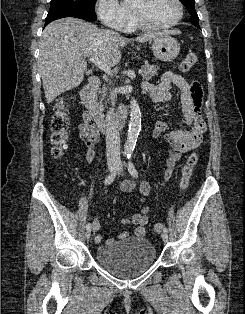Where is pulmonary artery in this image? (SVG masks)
Returning <instances> with one entry per match:
<instances>
[{"label": "pulmonary artery", "instance_id": "obj_1", "mask_svg": "<svg viewBox=\"0 0 245 314\" xmlns=\"http://www.w3.org/2000/svg\"><path fill=\"white\" fill-rule=\"evenodd\" d=\"M121 31H123V32H129V30H128V29H124V30H121Z\"/></svg>", "mask_w": 245, "mask_h": 314}]
</instances>
